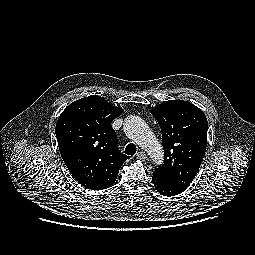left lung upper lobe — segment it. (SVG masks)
<instances>
[{"label": "left lung upper lobe", "instance_id": "5c2ea615", "mask_svg": "<svg viewBox=\"0 0 255 255\" xmlns=\"http://www.w3.org/2000/svg\"><path fill=\"white\" fill-rule=\"evenodd\" d=\"M157 119L164 148V163L155 174L185 190L195 178L207 144L208 122L203 111L190 102L169 100L151 111Z\"/></svg>", "mask_w": 255, "mask_h": 255}]
</instances>
